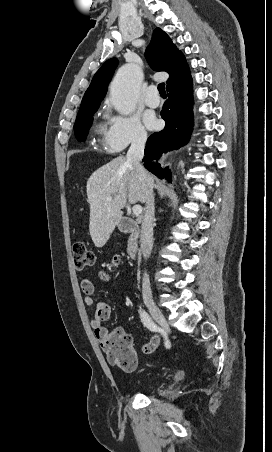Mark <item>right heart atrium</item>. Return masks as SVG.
<instances>
[{
    "label": "right heart atrium",
    "mask_w": 272,
    "mask_h": 452,
    "mask_svg": "<svg viewBox=\"0 0 272 452\" xmlns=\"http://www.w3.org/2000/svg\"><path fill=\"white\" fill-rule=\"evenodd\" d=\"M107 128L103 134V146L111 152H119L129 145H142L147 132L135 115L106 114Z\"/></svg>",
    "instance_id": "1"
}]
</instances>
